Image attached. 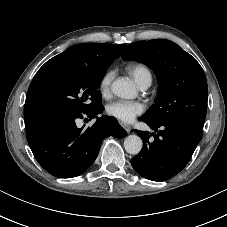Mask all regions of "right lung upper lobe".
Returning <instances> with one entry per match:
<instances>
[{"label":"right lung upper lobe","mask_w":227,"mask_h":227,"mask_svg":"<svg viewBox=\"0 0 227 227\" xmlns=\"http://www.w3.org/2000/svg\"><path fill=\"white\" fill-rule=\"evenodd\" d=\"M126 44L110 45L103 43H84L74 45L63 53L53 57L47 61L36 73L33 78L27 93V98L24 108V119L26 130L33 127L39 121L45 118L40 112L35 101V84L40 73L48 66L54 63H67L85 65L88 67H104L111 61L120 57L125 49Z\"/></svg>","instance_id":"obj_1"}]
</instances>
